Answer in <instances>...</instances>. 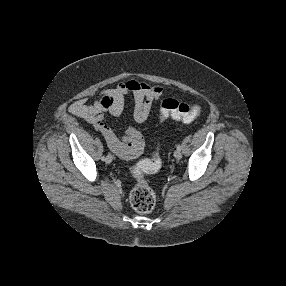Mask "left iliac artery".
<instances>
[{
	"mask_svg": "<svg viewBox=\"0 0 286 286\" xmlns=\"http://www.w3.org/2000/svg\"><path fill=\"white\" fill-rule=\"evenodd\" d=\"M176 148H177L178 150H181V145H180V143L177 144Z\"/></svg>",
	"mask_w": 286,
	"mask_h": 286,
	"instance_id": "obj_1",
	"label": "left iliac artery"
}]
</instances>
